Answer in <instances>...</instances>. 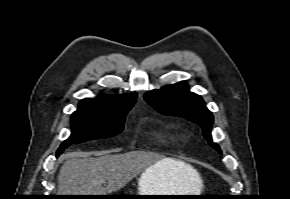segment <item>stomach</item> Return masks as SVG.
Instances as JSON below:
<instances>
[{
    "label": "stomach",
    "instance_id": "obj_1",
    "mask_svg": "<svg viewBox=\"0 0 290 199\" xmlns=\"http://www.w3.org/2000/svg\"><path fill=\"white\" fill-rule=\"evenodd\" d=\"M157 171V173H156ZM201 182V177H197ZM174 177L168 173L158 170L157 165H153L144 170L138 180V195H195V194H176L172 192ZM198 190V187H197ZM153 199H190V197H143Z\"/></svg>",
    "mask_w": 290,
    "mask_h": 199
}]
</instances>
